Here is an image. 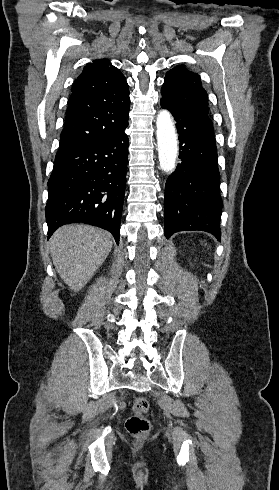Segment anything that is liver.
Wrapping results in <instances>:
<instances>
[{"label": "liver", "instance_id": "6515ba94", "mask_svg": "<svg viewBox=\"0 0 279 490\" xmlns=\"http://www.w3.org/2000/svg\"><path fill=\"white\" fill-rule=\"evenodd\" d=\"M113 236L92 226H62L50 240L52 262L64 284L79 292L102 266Z\"/></svg>", "mask_w": 279, "mask_h": 490}]
</instances>
